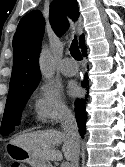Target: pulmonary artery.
Wrapping results in <instances>:
<instances>
[{
    "instance_id": "1",
    "label": "pulmonary artery",
    "mask_w": 125,
    "mask_h": 167,
    "mask_svg": "<svg viewBox=\"0 0 125 167\" xmlns=\"http://www.w3.org/2000/svg\"><path fill=\"white\" fill-rule=\"evenodd\" d=\"M60 71L66 76H74L78 72V65L71 58L67 57L60 63Z\"/></svg>"
}]
</instances>
